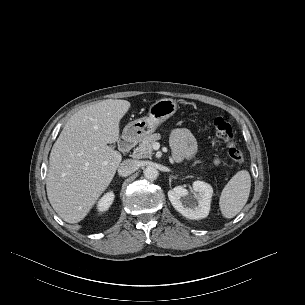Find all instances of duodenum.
<instances>
[{"instance_id": "1", "label": "duodenum", "mask_w": 305, "mask_h": 305, "mask_svg": "<svg viewBox=\"0 0 305 305\" xmlns=\"http://www.w3.org/2000/svg\"><path fill=\"white\" fill-rule=\"evenodd\" d=\"M136 138L133 135H125L123 136L120 141H119V149L122 152H127L129 151L133 145L135 144Z\"/></svg>"}]
</instances>
